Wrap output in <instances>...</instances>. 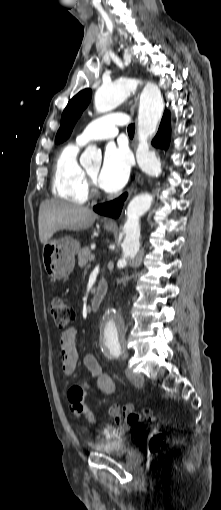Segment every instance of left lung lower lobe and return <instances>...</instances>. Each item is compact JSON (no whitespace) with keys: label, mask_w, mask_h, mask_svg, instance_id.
<instances>
[{"label":"left lung lower lobe","mask_w":221,"mask_h":510,"mask_svg":"<svg viewBox=\"0 0 221 510\" xmlns=\"http://www.w3.org/2000/svg\"><path fill=\"white\" fill-rule=\"evenodd\" d=\"M169 141H170V115L166 111L161 120L158 133L153 139L152 144L156 147L166 149L169 145ZM126 196L127 194H124L116 200L96 205L93 207V209L95 212L101 215L118 217L121 212L123 201L126 199Z\"/></svg>","instance_id":"0a47b994"}]
</instances>
